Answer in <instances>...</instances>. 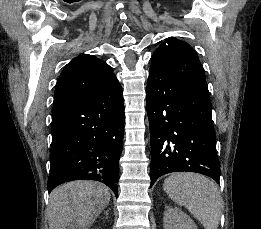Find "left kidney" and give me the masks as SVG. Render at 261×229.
Instances as JSON below:
<instances>
[{"instance_id":"obj_1","label":"left kidney","mask_w":261,"mask_h":229,"mask_svg":"<svg viewBox=\"0 0 261 229\" xmlns=\"http://www.w3.org/2000/svg\"><path fill=\"white\" fill-rule=\"evenodd\" d=\"M164 229H197L192 219L180 211V209H172L167 207L163 217Z\"/></svg>"}]
</instances>
